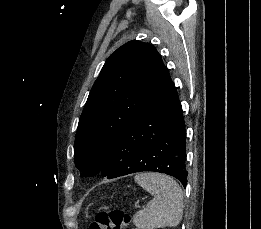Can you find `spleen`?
I'll use <instances>...</instances> for the list:
<instances>
[{"label":"spleen","instance_id":"spleen-1","mask_svg":"<svg viewBox=\"0 0 261 229\" xmlns=\"http://www.w3.org/2000/svg\"><path fill=\"white\" fill-rule=\"evenodd\" d=\"M136 183L153 195L144 211L133 217L137 229H165L177 227L183 217V193L180 185L161 173H140Z\"/></svg>","mask_w":261,"mask_h":229}]
</instances>
